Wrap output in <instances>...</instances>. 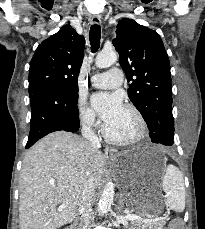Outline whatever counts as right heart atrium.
I'll list each match as a JSON object with an SVG mask.
<instances>
[{"label": "right heart atrium", "mask_w": 205, "mask_h": 229, "mask_svg": "<svg viewBox=\"0 0 205 229\" xmlns=\"http://www.w3.org/2000/svg\"><path fill=\"white\" fill-rule=\"evenodd\" d=\"M78 116L81 125L86 128L93 129L98 124L94 111L83 100L78 103Z\"/></svg>", "instance_id": "obj_1"}]
</instances>
